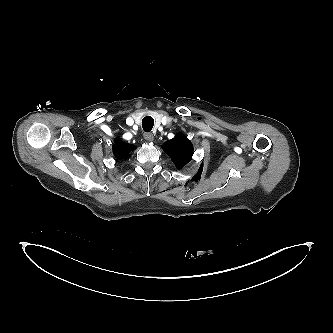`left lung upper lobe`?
Here are the masks:
<instances>
[{
  "instance_id": "obj_1",
  "label": "left lung upper lobe",
  "mask_w": 333,
  "mask_h": 333,
  "mask_svg": "<svg viewBox=\"0 0 333 333\" xmlns=\"http://www.w3.org/2000/svg\"><path fill=\"white\" fill-rule=\"evenodd\" d=\"M163 149L170 156L177 169L186 166L193 155L192 143L182 133H178L173 139L166 141Z\"/></svg>"
}]
</instances>
